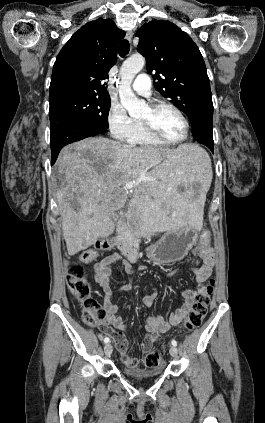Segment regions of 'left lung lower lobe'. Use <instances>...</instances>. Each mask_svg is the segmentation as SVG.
<instances>
[{
	"mask_svg": "<svg viewBox=\"0 0 265 423\" xmlns=\"http://www.w3.org/2000/svg\"><path fill=\"white\" fill-rule=\"evenodd\" d=\"M213 103L205 104L196 114L195 123L192 127L194 139L207 146L214 152L213 141Z\"/></svg>",
	"mask_w": 265,
	"mask_h": 423,
	"instance_id": "obj_1",
	"label": "left lung lower lobe"
}]
</instances>
